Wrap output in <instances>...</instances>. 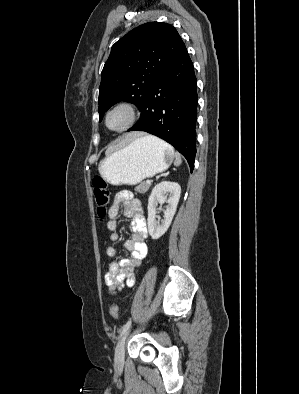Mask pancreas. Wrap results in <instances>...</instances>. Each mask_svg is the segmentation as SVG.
<instances>
[{
  "label": "pancreas",
  "mask_w": 299,
  "mask_h": 394,
  "mask_svg": "<svg viewBox=\"0 0 299 394\" xmlns=\"http://www.w3.org/2000/svg\"><path fill=\"white\" fill-rule=\"evenodd\" d=\"M149 187H150V184L141 183L140 185L135 187V191L138 193L144 194L148 191Z\"/></svg>",
  "instance_id": "pancreas-1"
}]
</instances>
